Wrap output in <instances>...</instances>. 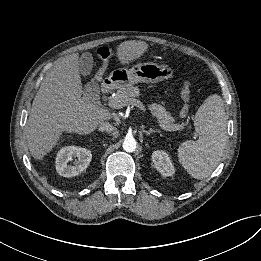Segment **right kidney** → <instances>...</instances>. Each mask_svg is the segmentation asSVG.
Instances as JSON below:
<instances>
[{
	"label": "right kidney",
	"instance_id": "1",
	"mask_svg": "<svg viewBox=\"0 0 261 261\" xmlns=\"http://www.w3.org/2000/svg\"><path fill=\"white\" fill-rule=\"evenodd\" d=\"M91 159L92 154L89 149L65 146L57 153L56 170L61 176L73 177L82 173L88 167ZM69 162H72L73 165H70Z\"/></svg>",
	"mask_w": 261,
	"mask_h": 261
}]
</instances>
